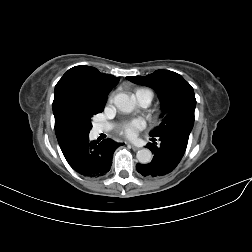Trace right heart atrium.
Instances as JSON below:
<instances>
[{
	"label": "right heart atrium",
	"mask_w": 252,
	"mask_h": 252,
	"mask_svg": "<svg viewBox=\"0 0 252 252\" xmlns=\"http://www.w3.org/2000/svg\"><path fill=\"white\" fill-rule=\"evenodd\" d=\"M111 101H112V96L109 97V102H111Z\"/></svg>",
	"instance_id": "1"
}]
</instances>
